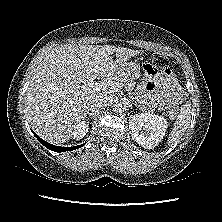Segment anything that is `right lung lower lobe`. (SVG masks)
<instances>
[{"label":"right lung lower lobe","mask_w":222,"mask_h":222,"mask_svg":"<svg viewBox=\"0 0 222 222\" xmlns=\"http://www.w3.org/2000/svg\"><path fill=\"white\" fill-rule=\"evenodd\" d=\"M34 133V132H33ZM34 135L36 136V138L48 149L52 150V151H56V152H64V151H71V150H75L77 148L82 147L84 144L79 145V146H74V147H59V146H55L53 144H50L46 141H44L43 139H41L38 135H36L34 133Z\"/></svg>","instance_id":"right-lung-lower-lobe-1"}]
</instances>
